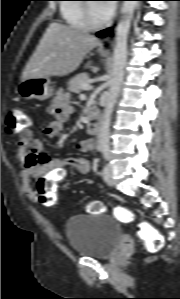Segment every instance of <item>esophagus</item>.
I'll use <instances>...</instances> for the list:
<instances>
[{"instance_id":"34e87169","label":"esophagus","mask_w":180,"mask_h":299,"mask_svg":"<svg viewBox=\"0 0 180 299\" xmlns=\"http://www.w3.org/2000/svg\"><path fill=\"white\" fill-rule=\"evenodd\" d=\"M113 48V40L111 37H106L103 39L102 44H101V49L109 52Z\"/></svg>"}]
</instances>
